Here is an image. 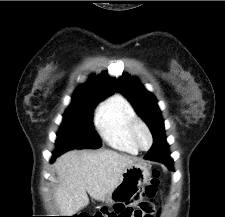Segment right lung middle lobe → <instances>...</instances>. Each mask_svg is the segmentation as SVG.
Returning <instances> with one entry per match:
<instances>
[{"mask_svg":"<svg viewBox=\"0 0 225 217\" xmlns=\"http://www.w3.org/2000/svg\"><path fill=\"white\" fill-rule=\"evenodd\" d=\"M102 99L73 98L57 133L56 153L61 154L75 148H99L101 146V140L93 128L92 113L96 104Z\"/></svg>","mask_w":225,"mask_h":217,"instance_id":"1","label":"right lung middle lobe"}]
</instances>
